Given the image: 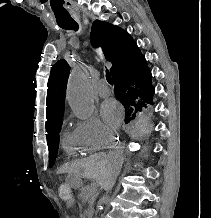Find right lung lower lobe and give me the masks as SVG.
I'll use <instances>...</instances> for the list:
<instances>
[{
  "label": "right lung lower lobe",
  "mask_w": 211,
  "mask_h": 218,
  "mask_svg": "<svg viewBox=\"0 0 211 218\" xmlns=\"http://www.w3.org/2000/svg\"><path fill=\"white\" fill-rule=\"evenodd\" d=\"M112 78L117 98L134 97L144 103L154 104L152 75L141 53L134 59L116 67Z\"/></svg>",
  "instance_id": "98d812e1"
}]
</instances>
